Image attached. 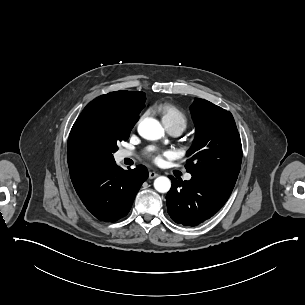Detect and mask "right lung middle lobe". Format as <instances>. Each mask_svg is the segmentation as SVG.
<instances>
[{"mask_svg":"<svg viewBox=\"0 0 305 305\" xmlns=\"http://www.w3.org/2000/svg\"><path fill=\"white\" fill-rule=\"evenodd\" d=\"M133 126L94 127L87 134L89 146L95 154L97 168L115 162L113 153L118 150L117 143L129 138Z\"/></svg>","mask_w":305,"mask_h":305,"instance_id":"right-lung-middle-lobe-1","label":"right lung middle lobe"}]
</instances>
